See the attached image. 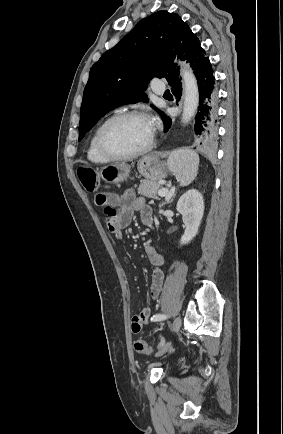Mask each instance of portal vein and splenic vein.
Returning <instances> with one entry per match:
<instances>
[{
  "label": "portal vein and splenic vein",
  "instance_id": "obj_1",
  "mask_svg": "<svg viewBox=\"0 0 283 434\" xmlns=\"http://www.w3.org/2000/svg\"><path fill=\"white\" fill-rule=\"evenodd\" d=\"M169 194V190L167 188H163L161 190H159L158 195L161 197H167Z\"/></svg>",
  "mask_w": 283,
  "mask_h": 434
}]
</instances>
